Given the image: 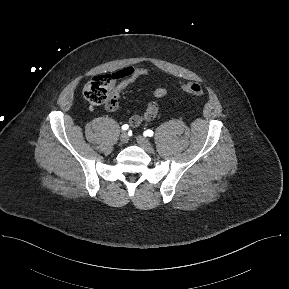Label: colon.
I'll return each instance as SVG.
<instances>
[{
	"label": "colon",
	"mask_w": 289,
	"mask_h": 289,
	"mask_svg": "<svg viewBox=\"0 0 289 289\" xmlns=\"http://www.w3.org/2000/svg\"><path fill=\"white\" fill-rule=\"evenodd\" d=\"M112 77L100 75L92 78L83 89L86 100L93 105L105 104L109 111H114L118 107V102L109 94ZM182 90L190 95L202 96L204 89L201 84L188 82L182 86Z\"/></svg>",
	"instance_id": "obj_1"
}]
</instances>
